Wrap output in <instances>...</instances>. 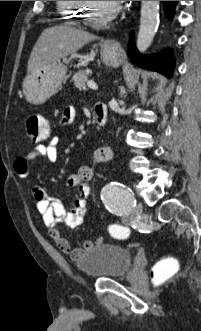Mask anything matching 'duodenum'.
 <instances>
[{"instance_id":"1","label":"duodenum","mask_w":201,"mask_h":331,"mask_svg":"<svg viewBox=\"0 0 201 331\" xmlns=\"http://www.w3.org/2000/svg\"><path fill=\"white\" fill-rule=\"evenodd\" d=\"M95 121L98 125L102 126L107 121V112L103 106H96L95 107Z\"/></svg>"}]
</instances>
